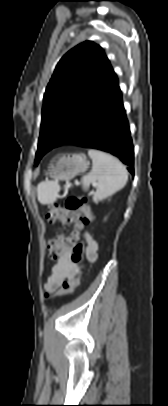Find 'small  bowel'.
Masks as SVG:
<instances>
[{
  "mask_svg": "<svg viewBox=\"0 0 168 406\" xmlns=\"http://www.w3.org/2000/svg\"><path fill=\"white\" fill-rule=\"evenodd\" d=\"M87 240V257L89 261L94 262L97 258V243L87 233L85 234ZM72 251L67 248L57 262L51 268L48 279L44 285L46 290L55 291L67 280L74 279L80 270V266L71 261Z\"/></svg>",
  "mask_w": 168,
  "mask_h": 406,
  "instance_id": "c3829d8e",
  "label": "small bowel"
}]
</instances>
